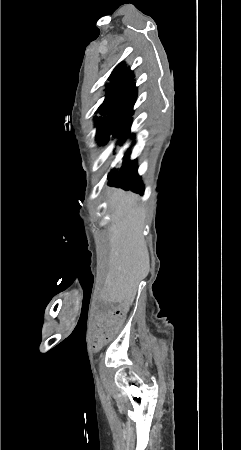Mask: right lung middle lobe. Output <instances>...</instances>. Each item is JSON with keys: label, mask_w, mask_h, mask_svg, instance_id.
<instances>
[{"label": "right lung middle lobe", "mask_w": 241, "mask_h": 450, "mask_svg": "<svg viewBox=\"0 0 241 450\" xmlns=\"http://www.w3.org/2000/svg\"><path fill=\"white\" fill-rule=\"evenodd\" d=\"M105 92V99L96 112L100 116L94 117L96 139L101 140L103 146L113 142L116 146H122L130 136L135 101L119 99L110 87ZM128 154L129 151L126 152Z\"/></svg>", "instance_id": "obj_1"}]
</instances>
